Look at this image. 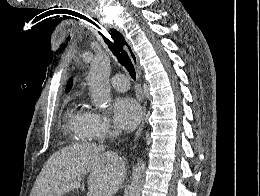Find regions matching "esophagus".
<instances>
[{
  "mask_svg": "<svg viewBox=\"0 0 260 196\" xmlns=\"http://www.w3.org/2000/svg\"><path fill=\"white\" fill-rule=\"evenodd\" d=\"M117 31H119L123 37H124V40H125V49L127 51V53L129 54V57L131 58L132 60V63L134 65V68L137 72V76L140 77L141 75V72H140V69H139V60H138V56L136 55L133 47H132V44L130 43V41L125 37V34L123 32V30H121L120 28H117ZM145 105L143 106V119L141 121V124L138 128V130L136 131V134H135V140H137L138 138H140L141 134H142V131H143V128H144V118H145Z\"/></svg>",
  "mask_w": 260,
  "mask_h": 196,
  "instance_id": "34e87169",
  "label": "esophagus"
}]
</instances>
